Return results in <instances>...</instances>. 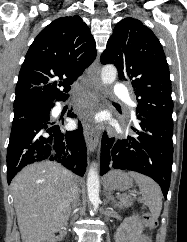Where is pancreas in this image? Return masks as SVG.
Here are the masks:
<instances>
[{"instance_id":"obj_1","label":"pancreas","mask_w":187,"mask_h":242,"mask_svg":"<svg viewBox=\"0 0 187 242\" xmlns=\"http://www.w3.org/2000/svg\"><path fill=\"white\" fill-rule=\"evenodd\" d=\"M118 200L120 201L118 203V206L120 208L129 207L133 204V198H131L130 196H127V195L119 196Z\"/></svg>"}]
</instances>
